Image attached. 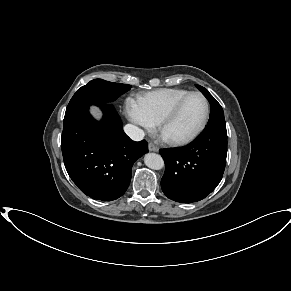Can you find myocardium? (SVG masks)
<instances>
[{
    "mask_svg": "<svg viewBox=\"0 0 291 291\" xmlns=\"http://www.w3.org/2000/svg\"><path fill=\"white\" fill-rule=\"evenodd\" d=\"M193 96L201 97L204 101V104H205V112H204L203 118H202L200 124L198 125V127L193 132H191L190 134L183 136V137H179V138L165 137L163 135L165 128L178 116V114L180 113L184 104L188 101L189 98H191ZM209 115H210V104H209L207 98L200 92H190L187 95H185L182 99H180L171 108V110L160 120V122L158 123L159 132L162 135V137L164 138V140L171 145L181 146V145L188 144V143L192 142L193 140H195L203 132V130L205 129V127L208 123Z\"/></svg>",
    "mask_w": 291,
    "mask_h": 291,
    "instance_id": "f54148a6",
    "label": "myocardium"
}]
</instances>
